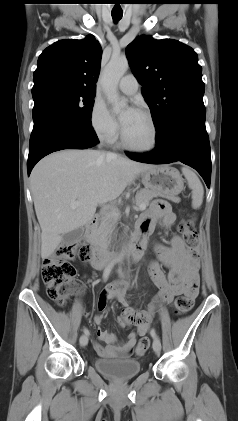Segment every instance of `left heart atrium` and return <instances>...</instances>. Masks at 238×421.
I'll use <instances>...</instances> for the list:
<instances>
[{
	"label": "left heart atrium",
	"instance_id": "1",
	"mask_svg": "<svg viewBox=\"0 0 238 421\" xmlns=\"http://www.w3.org/2000/svg\"><path fill=\"white\" fill-rule=\"evenodd\" d=\"M136 112V110L135 109H133V108H130V109H128L127 110V117H129V116H131L132 114H134ZM121 121H122V124L124 123V121H125V119H121Z\"/></svg>",
	"mask_w": 238,
	"mask_h": 421
}]
</instances>
